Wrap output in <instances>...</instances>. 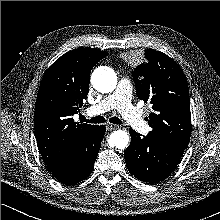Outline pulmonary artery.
I'll use <instances>...</instances> for the list:
<instances>
[{"label":"pulmonary artery","mask_w":220,"mask_h":220,"mask_svg":"<svg viewBox=\"0 0 220 220\" xmlns=\"http://www.w3.org/2000/svg\"><path fill=\"white\" fill-rule=\"evenodd\" d=\"M117 108L124 120L135 130L145 133L148 131V125L145 122L139 109L131 103V84L121 78L116 89L98 103L88 108L90 115H99L111 109Z\"/></svg>","instance_id":"pulmonary-artery-1"}]
</instances>
